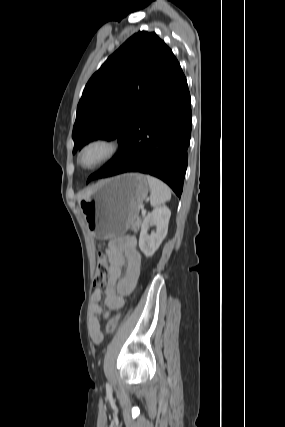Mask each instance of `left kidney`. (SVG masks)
Masks as SVG:
<instances>
[{
    "instance_id": "1",
    "label": "left kidney",
    "mask_w": 285,
    "mask_h": 427,
    "mask_svg": "<svg viewBox=\"0 0 285 427\" xmlns=\"http://www.w3.org/2000/svg\"><path fill=\"white\" fill-rule=\"evenodd\" d=\"M170 216L169 208L160 207L144 218L139 236V248L146 257H151L166 237ZM153 225L156 226V232L149 235L148 229Z\"/></svg>"
}]
</instances>
